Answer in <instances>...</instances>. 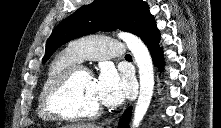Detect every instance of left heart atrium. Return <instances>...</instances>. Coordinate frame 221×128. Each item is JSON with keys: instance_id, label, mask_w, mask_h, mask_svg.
Here are the masks:
<instances>
[{"instance_id": "39dd6f15", "label": "left heart atrium", "mask_w": 221, "mask_h": 128, "mask_svg": "<svg viewBox=\"0 0 221 128\" xmlns=\"http://www.w3.org/2000/svg\"><path fill=\"white\" fill-rule=\"evenodd\" d=\"M93 86L102 105L114 107L120 104L131 91L133 84L129 77L121 79L109 66H104Z\"/></svg>"}]
</instances>
